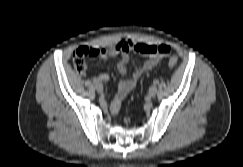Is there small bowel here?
I'll list each match as a JSON object with an SVG mask.
<instances>
[{
    "instance_id": "obj_1",
    "label": "small bowel",
    "mask_w": 243,
    "mask_h": 167,
    "mask_svg": "<svg viewBox=\"0 0 243 167\" xmlns=\"http://www.w3.org/2000/svg\"><path fill=\"white\" fill-rule=\"evenodd\" d=\"M93 57L111 58L120 55V60L117 64V69L122 76L128 72V66L131 62L129 52H135L146 57L145 61L140 65H135L130 78H122L118 82L117 92L112 100L110 111L113 115L118 114L121 106V101L128 93L136 86L140 77L152 70L160 60L170 53V47L166 44H152L145 42H134L130 40H120L115 45L109 48H90ZM102 82L109 81L107 73H101L96 78Z\"/></svg>"
}]
</instances>
